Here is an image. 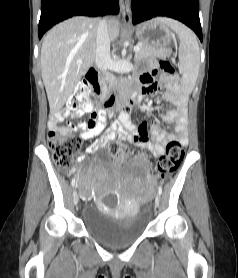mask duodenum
Instances as JSON below:
<instances>
[{
    "label": "duodenum",
    "mask_w": 238,
    "mask_h": 278,
    "mask_svg": "<svg viewBox=\"0 0 238 278\" xmlns=\"http://www.w3.org/2000/svg\"><path fill=\"white\" fill-rule=\"evenodd\" d=\"M86 79L93 87L94 92L97 95L98 104L101 107H116L117 109L130 111L136 104V94L132 89H128L122 94L104 91L99 84L98 71L96 68L88 70Z\"/></svg>",
    "instance_id": "1"
}]
</instances>
